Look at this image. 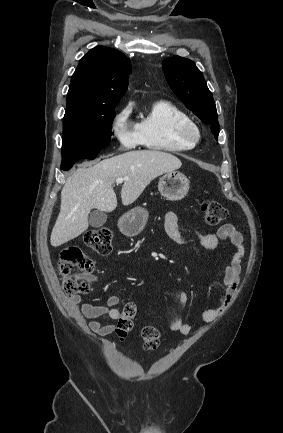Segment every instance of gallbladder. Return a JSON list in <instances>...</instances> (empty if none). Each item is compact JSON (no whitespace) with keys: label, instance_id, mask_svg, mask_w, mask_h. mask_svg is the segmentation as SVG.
Here are the masks:
<instances>
[{"label":"gallbladder","instance_id":"obj_1","mask_svg":"<svg viewBox=\"0 0 283 433\" xmlns=\"http://www.w3.org/2000/svg\"><path fill=\"white\" fill-rule=\"evenodd\" d=\"M107 221L106 212H102V210H93L89 217V223L91 227H102L104 223Z\"/></svg>","mask_w":283,"mask_h":433}]
</instances>
